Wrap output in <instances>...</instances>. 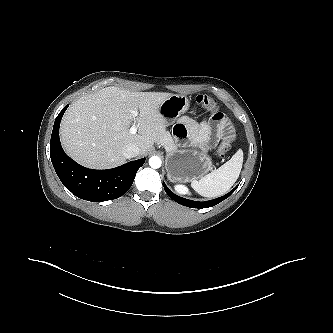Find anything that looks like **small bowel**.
Masks as SVG:
<instances>
[{
    "instance_id": "1",
    "label": "small bowel",
    "mask_w": 333,
    "mask_h": 333,
    "mask_svg": "<svg viewBox=\"0 0 333 333\" xmlns=\"http://www.w3.org/2000/svg\"><path fill=\"white\" fill-rule=\"evenodd\" d=\"M225 130L229 132L230 128L225 115L221 112L203 120L201 124H197L188 117H183L177 125L179 137L188 138L202 149L213 147L223 136Z\"/></svg>"
}]
</instances>
